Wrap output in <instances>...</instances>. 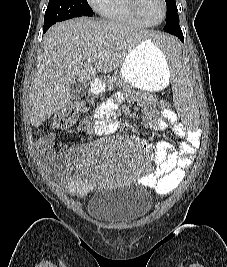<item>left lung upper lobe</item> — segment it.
Segmentation results:
<instances>
[{
  "instance_id": "5c2ea615",
  "label": "left lung upper lobe",
  "mask_w": 227,
  "mask_h": 267,
  "mask_svg": "<svg viewBox=\"0 0 227 267\" xmlns=\"http://www.w3.org/2000/svg\"><path fill=\"white\" fill-rule=\"evenodd\" d=\"M167 5L166 23L178 16L175 0H165Z\"/></svg>"
}]
</instances>
